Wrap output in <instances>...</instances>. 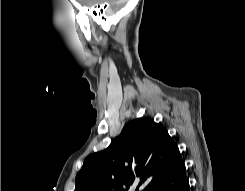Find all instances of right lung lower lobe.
I'll list each match as a JSON object with an SVG mask.
<instances>
[{"instance_id": "obj_1", "label": "right lung lower lobe", "mask_w": 245, "mask_h": 191, "mask_svg": "<svg viewBox=\"0 0 245 191\" xmlns=\"http://www.w3.org/2000/svg\"><path fill=\"white\" fill-rule=\"evenodd\" d=\"M152 191H190L185 166L171 177L158 183Z\"/></svg>"}]
</instances>
